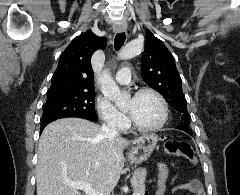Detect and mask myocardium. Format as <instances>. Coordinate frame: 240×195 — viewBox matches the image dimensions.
<instances>
[{
	"label": "myocardium",
	"instance_id": "myocardium-1",
	"mask_svg": "<svg viewBox=\"0 0 240 195\" xmlns=\"http://www.w3.org/2000/svg\"><path fill=\"white\" fill-rule=\"evenodd\" d=\"M143 94H151L154 97H156L157 100L159 101L160 106H161V116H160L159 121L150 126H140L131 119V117L129 116L128 113L125 112L126 127L130 128L136 132H139V133H150V132L158 131L159 129H161L164 126V124L166 123L167 118H168L167 102L160 92H158L152 88H148V87L141 88L140 90H138L134 94V98L141 96Z\"/></svg>",
	"mask_w": 240,
	"mask_h": 195
}]
</instances>
